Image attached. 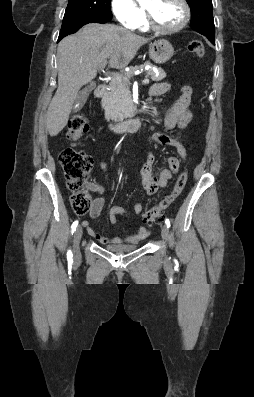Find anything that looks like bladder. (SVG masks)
Wrapping results in <instances>:
<instances>
[{"label":"bladder","instance_id":"obj_1","mask_svg":"<svg viewBox=\"0 0 254 397\" xmlns=\"http://www.w3.org/2000/svg\"><path fill=\"white\" fill-rule=\"evenodd\" d=\"M138 245H116V246H108L106 249L110 252L116 254H123L133 252L138 249Z\"/></svg>","mask_w":254,"mask_h":397}]
</instances>
